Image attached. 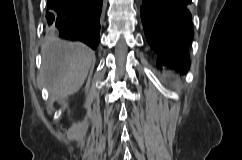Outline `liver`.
<instances>
[{
	"instance_id": "1",
	"label": "liver",
	"mask_w": 242,
	"mask_h": 160,
	"mask_svg": "<svg viewBox=\"0 0 242 160\" xmlns=\"http://www.w3.org/2000/svg\"><path fill=\"white\" fill-rule=\"evenodd\" d=\"M41 78L57 99L76 93L83 85L94 60V52L82 43L58 39L42 45Z\"/></svg>"
}]
</instances>
